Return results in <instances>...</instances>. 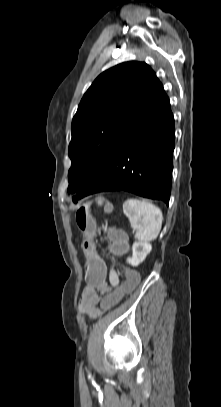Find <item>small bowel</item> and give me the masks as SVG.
I'll list each match as a JSON object with an SVG mask.
<instances>
[{"instance_id": "c3829d8e", "label": "small bowel", "mask_w": 221, "mask_h": 407, "mask_svg": "<svg viewBox=\"0 0 221 407\" xmlns=\"http://www.w3.org/2000/svg\"><path fill=\"white\" fill-rule=\"evenodd\" d=\"M108 270H109L108 275L109 283H107L106 286H98V289L95 292H92L89 289V286H86V288L82 292V296L79 303V310L88 319L91 320L95 319L102 313L101 307L99 305L102 296L105 295V293L108 292L109 289H114L116 285L120 284L117 272L113 268H110Z\"/></svg>"}]
</instances>
